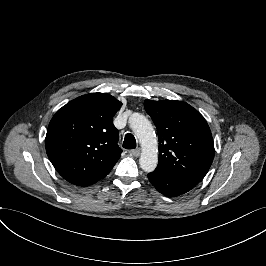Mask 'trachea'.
I'll return each mask as SVG.
<instances>
[{
	"mask_svg": "<svg viewBox=\"0 0 266 266\" xmlns=\"http://www.w3.org/2000/svg\"><path fill=\"white\" fill-rule=\"evenodd\" d=\"M123 147L125 149H135L136 148V140L132 134H126L125 135Z\"/></svg>",
	"mask_w": 266,
	"mask_h": 266,
	"instance_id": "obj_1",
	"label": "trachea"
}]
</instances>
